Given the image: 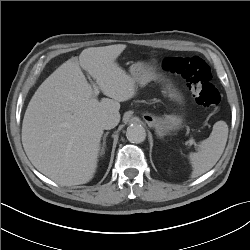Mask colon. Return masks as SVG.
<instances>
[{"label":"colon","instance_id":"1","mask_svg":"<svg viewBox=\"0 0 250 250\" xmlns=\"http://www.w3.org/2000/svg\"><path fill=\"white\" fill-rule=\"evenodd\" d=\"M165 71L181 76L187 83L196 102L209 109H216L220 104V94L212 84L211 70L198 56L167 57L162 62Z\"/></svg>","mask_w":250,"mask_h":250}]
</instances>
